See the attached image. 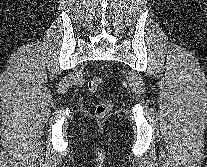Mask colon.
I'll use <instances>...</instances> for the list:
<instances>
[{
    "mask_svg": "<svg viewBox=\"0 0 207 167\" xmlns=\"http://www.w3.org/2000/svg\"><path fill=\"white\" fill-rule=\"evenodd\" d=\"M104 79L101 76H94L92 77L89 82H88V89L92 93H97L100 91L102 84H103ZM113 107V103L111 100H105L101 103H99L96 106V114L99 116H104L108 114Z\"/></svg>",
    "mask_w": 207,
    "mask_h": 167,
    "instance_id": "obj_1",
    "label": "colon"
}]
</instances>
